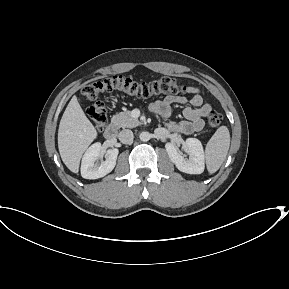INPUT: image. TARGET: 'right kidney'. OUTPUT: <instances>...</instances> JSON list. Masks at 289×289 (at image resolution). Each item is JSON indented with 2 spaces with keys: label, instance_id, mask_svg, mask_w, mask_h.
<instances>
[{
  "label": "right kidney",
  "instance_id": "ca27d5eb",
  "mask_svg": "<svg viewBox=\"0 0 289 289\" xmlns=\"http://www.w3.org/2000/svg\"><path fill=\"white\" fill-rule=\"evenodd\" d=\"M102 147L99 142L91 145L82 158L81 175L85 179H98L110 173L115 165L118 156V149H109L106 152V160L101 163L96 161L102 156Z\"/></svg>",
  "mask_w": 289,
  "mask_h": 289
}]
</instances>
